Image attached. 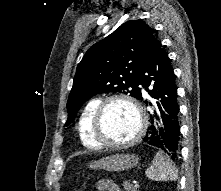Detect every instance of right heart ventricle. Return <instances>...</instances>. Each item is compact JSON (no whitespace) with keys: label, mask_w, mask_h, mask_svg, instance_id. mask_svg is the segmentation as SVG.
<instances>
[{"label":"right heart ventricle","mask_w":221,"mask_h":191,"mask_svg":"<svg viewBox=\"0 0 221 191\" xmlns=\"http://www.w3.org/2000/svg\"><path fill=\"white\" fill-rule=\"evenodd\" d=\"M100 99L93 98L84 106L77 122V130L81 143L87 148H99L92 134V123L96 108L100 103Z\"/></svg>","instance_id":"1"}]
</instances>
